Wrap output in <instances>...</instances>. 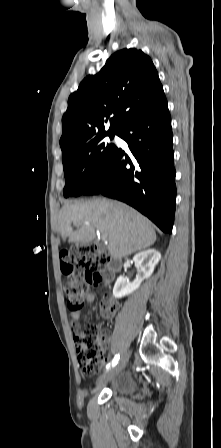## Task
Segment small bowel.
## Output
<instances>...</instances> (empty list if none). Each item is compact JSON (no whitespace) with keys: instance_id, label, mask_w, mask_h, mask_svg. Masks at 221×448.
Instances as JSON below:
<instances>
[{"instance_id":"1","label":"small bowel","mask_w":221,"mask_h":448,"mask_svg":"<svg viewBox=\"0 0 221 448\" xmlns=\"http://www.w3.org/2000/svg\"><path fill=\"white\" fill-rule=\"evenodd\" d=\"M96 296L94 293L87 294L85 298L86 304H92L95 302ZM119 303L112 295H105L103 302L99 307V312L102 318L110 319L113 318L118 310ZM82 317V309L72 311L71 320L76 329H78V323Z\"/></svg>"}]
</instances>
